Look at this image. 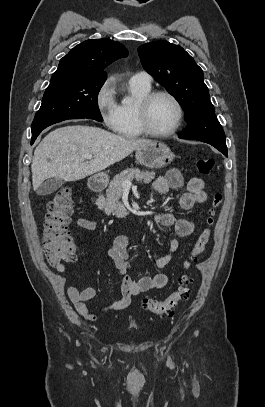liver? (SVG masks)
<instances>
[{
    "mask_svg": "<svg viewBox=\"0 0 265 407\" xmlns=\"http://www.w3.org/2000/svg\"><path fill=\"white\" fill-rule=\"evenodd\" d=\"M151 142L122 137L86 125L51 131L36 147L31 164L33 189L50 178L72 182L98 173L121 161L138 147ZM93 159L86 161L85 156Z\"/></svg>",
    "mask_w": 265,
    "mask_h": 407,
    "instance_id": "1",
    "label": "liver"
}]
</instances>
